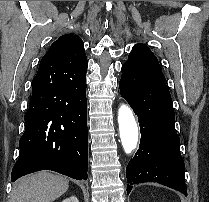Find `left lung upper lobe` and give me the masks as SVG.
Returning a JSON list of instances; mask_svg holds the SVG:
<instances>
[{
  "mask_svg": "<svg viewBox=\"0 0 209 202\" xmlns=\"http://www.w3.org/2000/svg\"><path fill=\"white\" fill-rule=\"evenodd\" d=\"M125 65L132 66L154 77L162 78L163 76L158 59L146 45L141 43L132 48Z\"/></svg>",
  "mask_w": 209,
  "mask_h": 202,
  "instance_id": "left-lung-upper-lobe-1",
  "label": "left lung upper lobe"
}]
</instances>
